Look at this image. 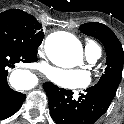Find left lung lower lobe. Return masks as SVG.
Segmentation results:
<instances>
[{"instance_id":"obj_1","label":"left lung lower lobe","mask_w":124,"mask_h":124,"mask_svg":"<svg viewBox=\"0 0 124 124\" xmlns=\"http://www.w3.org/2000/svg\"><path fill=\"white\" fill-rule=\"evenodd\" d=\"M49 98L52 119L57 124H94L108 109L114 95L101 87H89L78 99L71 90L59 88L51 82L43 84Z\"/></svg>"}]
</instances>
